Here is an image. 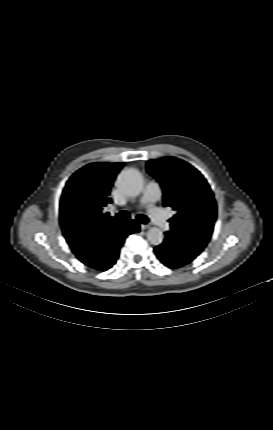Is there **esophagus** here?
Returning a JSON list of instances; mask_svg holds the SVG:
<instances>
[{"instance_id":"esophagus-1","label":"esophagus","mask_w":273,"mask_h":430,"mask_svg":"<svg viewBox=\"0 0 273 430\" xmlns=\"http://www.w3.org/2000/svg\"><path fill=\"white\" fill-rule=\"evenodd\" d=\"M149 228H150V225L141 224V229L142 230H146V229H149Z\"/></svg>"}]
</instances>
